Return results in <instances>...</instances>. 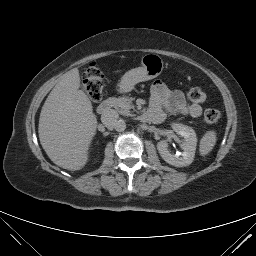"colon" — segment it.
<instances>
[{"label": "colon", "instance_id": "5ec220e1", "mask_svg": "<svg viewBox=\"0 0 256 256\" xmlns=\"http://www.w3.org/2000/svg\"><path fill=\"white\" fill-rule=\"evenodd\" d=\"M104 87V75L99 67L92 63L90 64L84 74L82 80V88L87 96L93 100L101 99ZM188 98L196 103H204L206 101V94L198 87H192L187 92ZM221 113L216 109H207L202 117L204 123H216L220 120Z\"/></svg>", "mask_w": 256, "mask_h": 256}]
</instances>
